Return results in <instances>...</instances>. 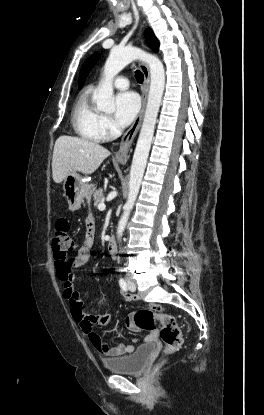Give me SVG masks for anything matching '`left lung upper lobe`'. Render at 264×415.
Instances as JSON below:
<instances>
[{
    "label": "left lung upper lobe",
    "mask_w": 264,
    "mask_h": 415,
    "mask_svg": "<svg viewBox=\"0 0 264 415\" xmlns=\"http://www.w3.org/2000/svg\"><path fill=\"white\" fill-rule=\"evenodd\" d=\"M145 38H146V42L147 44L154 50V51H158V47H159V42L157 40V38L155 37L154 33L152 32V30L150 28L146 29L145 31ZM99 55H92L90 56L83 64L82 68H81V73H80V79H79V87H81L84 83V81L86 80L89 71L92 69V67L94 66V64L96 63V61L98 60Z\"/></svg>",
    "instance_id": "obj_1"
}]
</instances>
